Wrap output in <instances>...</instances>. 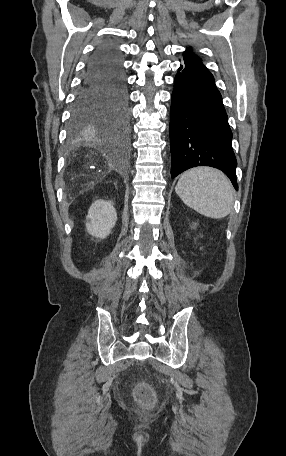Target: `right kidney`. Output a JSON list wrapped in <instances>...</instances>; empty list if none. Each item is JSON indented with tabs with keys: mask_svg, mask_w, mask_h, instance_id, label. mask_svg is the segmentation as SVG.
I'll return each instance as SVG.
<instances>
[{
	"mask_svg": "<svg viewBox=\"0 0 286 456\" xmlns=\"http://www.w3.org/2000/svg\"><path fill=\"white\" fill-rule=\"evenodd\" d=\"M117 221V213L111 201L96 200L90 207L86 217V228L90 235L104 239Z\"/></svg>",
	"mask_w": 286,
	"mask_h": 456,
	"instance_id": "ca27d5eb",
	"label": "right kidney"
}]
</instances>
